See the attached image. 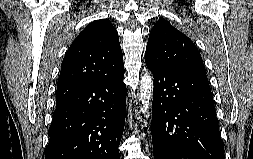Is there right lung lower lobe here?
<instances>
[{"mask_svg": "<svg viewBox=\"0 0 253 159\" xmlns=\"http://www.w3.org/2000/svg\"><path fill=\"white\" fill-rule=\"evenodd\" d=\"M124 70L56 104L45 159H120L126 86Z\"/></svg>", "mask_w": 253, "mask_h": 159, "instance_id": "98d812e1", "label": "right lung lower lobe"}]
</instances>
